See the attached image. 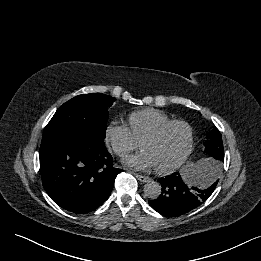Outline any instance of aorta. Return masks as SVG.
I'll list each match as a JSON object with an SVG mask.
<instances>
[{"label":"aorta","instance_id":"1","mask_svg":"<svg viewBox=\"0 0 261 261\" xmlns=\"http://www.w3.org/2000/svg\"><path fill=\"white\" fill-rule=\"evenodd\" d=\"M144 193L150 199H156L161 194V185L156 181H149L144 185Z\"/></svg>","mask_w":261,"mask_h":261}]
</instances>
